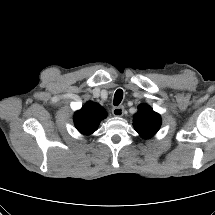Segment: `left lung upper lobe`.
<instances>
[{"label": "left lung upper lobe", "mask_w": 215, "mask_h": 215, "mask_svg": "<svg viewBox=\"0 0 215 215\" xmlns=\"http://www.w3.org/2000/svg\"><path fill=\"white\" fill-rule=\"evenodd\" d=\"M161 125V117L158 113L147 104H141L138 111L134 114L133 126L136 132L144 138L153 137L159 130Z\"/></svg>", "instance_id": "5c2ea615"}]
</instances>
